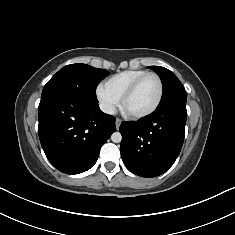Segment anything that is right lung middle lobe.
I'll return each mask as SVG.
<instances>
[{
	"label": "right lung middle lobe",
	"instance_id": "1",
	"mask_svg": "<svg viewBox=\"0 0 235 235\" xmlns=\"http://www.w3.org/2000/svg\"><path fill=\"white\" fill-rule=\"evenodd\" d=\"M108 75L107 70L82 63L67 65L44 86L41 98L68 94L96 101V87Z\"/></svg>",
	"mask_w": 235,
	"mask_h": 235
}]
</instances>
